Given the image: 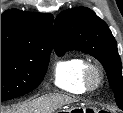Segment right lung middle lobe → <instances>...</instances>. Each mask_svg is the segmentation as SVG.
I'll return each mask as SVG.
<instances>
[{"mask_svg":"<svg viewBox=\"0 0 123 113\" xmlns=\"http://www.w3.org/2000/svg\"><path fill=\"white\" fill-rule=\"evenodd\" d=\"M51 45L39 42L1 44V101L37 88L44 78Z\"/></svg>","mask_w":123,"mask_h":113,"instance_id":"obj_1","label":"right lung middle lobe"}]
</instances>
